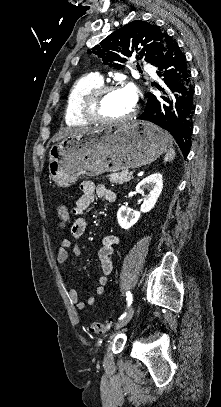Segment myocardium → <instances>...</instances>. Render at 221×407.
I'll return each instance as SVG.
<instances>
[{
	"label": "myocardium",
	"instance_id": "1",
	"mask_svg": "<svg viewBox=\"0 0 221 407\" xmlns=\"http://www.w3.org/2000/svg\"><path fill=\"white\" fill-rule=\"evenodd\" d=\"M120 89V86L116 84H104L96 89H94L88 97L85 99L82 105V111L84 116L88 121L96 122V123H105V124H118L123 123L131 118H133L137 113V107L134 106L133 110L120 117V118H109L106 117L101 110V105L103 102L104 97L115 90Z\"/></svg>",
	"mask_w": 221,
	"mask_h": 407
}]
</instances>
